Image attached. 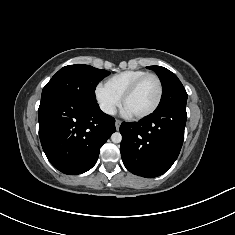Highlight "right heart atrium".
<instances>
[{
    "instance_id": "1",
    "label": "right heart atrium",
    "mask_w": 235,
    "mask_h": 235,
    "mask_svg": "<svg viewBox=\"0 0 235 235\" xmlns=\"http://www.w3.org/2000/svg\"><path fill=\"white\" fill-rule=\"evenodd\" d=\"M95 98L100 109L107 115H113L120 105V98L114 95L104 84L95 87Z\"/></svg>"
}]
</instances>
